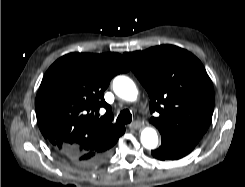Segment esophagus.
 I'll return each mask as SVG.
<instances>
[{
  "label": "esophagus",
  "instance_id": "1",
  "mask_svg": "<svg viewBox=\"0 0 245 187\" xmlns=\"http://www.w3.org/2000/svg\"><path fill=\"white\" fill-rule=\"evenodd\" d=\"M130 129H140L142 128V123L140 121H135L132 124L129 125Z\"/></svg>",
  "mask_w": 245,
  "mask_h": 187
}]
</instances>
